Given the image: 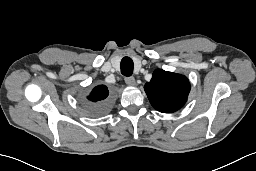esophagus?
<instances>
[{
	"label": "esophagus",
	"mask_w": 256,
	"mask_h": 171,
	"mask_svg": "<svg viewBox=\"0 0 256 171\" xmlns=\"http://www.w3.org/2000/svg\"><path fill=\"white\" fill-rule=\"evenodd\" d=\"M125 82L127 85H130V86L136 85V80L134 77H126Z\"/></svg>",
	"instance_id": "esophagus-1"
}]
</instances>
